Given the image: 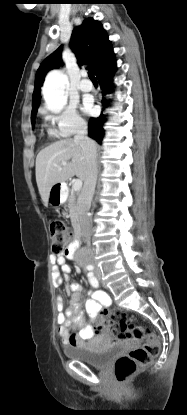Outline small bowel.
I'll list each match as a JSON object with an SVG mask.
<instances>
[{"label": "small bowel", "instance_id": "c3829d8e", "mask_svg": "<svg viewBox=\"0 0 187 415\" xmlns=\"http://www.w3.org/2000/svg\"><path fill=\"white\" fill-rule=\"evenodd\" d=\"M67 254L54 255L53 278L54 284L60 286L63 283L61 272L68 274L70 266L66 262ZM94 287V286H93ZM70 294L68 306L65 308L63 296L57 297V309L59 311L57 322L59 324V335L66 346H80L93 352L107 349L113 338L108 334L95 333L91 322H86L81 310L82 306L90 317L91 321L97 319L99 310L109 305V296L101 290L90 292V298L84 299V288L81 284L73 282L67 288ZM72 326H77L79 331L72 333Z\"/></svg>", "mask_w": 187, "mask_h": 415}]
</instances>
